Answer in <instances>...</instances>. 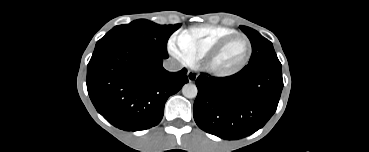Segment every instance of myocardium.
Instances as JSON below:
<instances>
[{
  "label": "myocardium",
  "mask_w": 369,
  "mask_h": 152,
  "mask_svg": "<svg viewBox=\"0 0 369 152\" xmlns=\"http://www.w3.org/2000/svg\"><path fill=\"white\" fill-rule=\"evenodd\" d=\"M242 38L247 43V54L243 61L234 69L228 70V71H220L213 67L212 62L214 58L222 51V49L232 40ZM252 43L250 39L242 34V33H234L231 35H228L221 40H219L216 44H214L207 52L203 55L200 61V67L202 70H204L206 73H208L211 76L218 77V78H226L231 77L233 75L238 74L241 72L249 63L250 58L252 56Z\"/></svg>",
  "instance_id": "1"
}]
</instances>
